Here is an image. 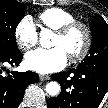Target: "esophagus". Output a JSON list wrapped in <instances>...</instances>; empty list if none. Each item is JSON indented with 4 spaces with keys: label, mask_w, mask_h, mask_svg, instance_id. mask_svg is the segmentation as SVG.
I'll use <instances>...</instances> for the list:
<instances>
[{
    "label": "esophagus",
    "mask_w": 108,
    "mask_h": 108,
    "mask_svg": "<svg viewBox=\"0 0 108 108\" xmlns=\"http://www.w3.org/2000/svg\"><path fill=\"white\" fill-rule=\"evenodd\" d=\"M39 79H40L41 81H47V80L50 79V76H48V75H40V76H39Z\"/></svg>",
    "instance_id": "esophagus-1"
}]
</instances>
